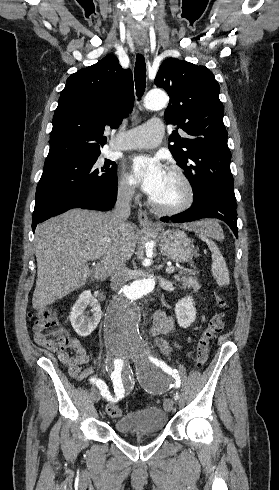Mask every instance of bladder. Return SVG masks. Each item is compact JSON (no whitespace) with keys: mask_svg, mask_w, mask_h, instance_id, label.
<instances>
[{"mask_svg":"<svg viewBox=\"0 0 279 490\" xmlns=\"http://www.w3.org/2000/svg\"><path fill=\"white\" fill-rule=\"evenodd\" d=\"M168 422V414L156 405H150L142 410H134L113 422L119 435L149 433L163 431Z\"/></svg>","mask_w":279,"mask_h":490,"instance_id":"1","label":"bladder"}]
</instances>
